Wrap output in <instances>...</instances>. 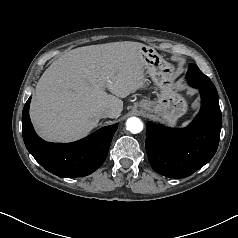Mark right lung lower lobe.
I'll return each mask as SVG.
<instances>
[{"label":"right lung lower lobe","instance_id":"obj_1","mask_svg":"<svg viewBox=\"0 0 238 238\" xmlns=\"http://www.w3.org/2000/svg\"><path fill=\"white\" fill-rule=\"evenodd\" d=\"M30 102L31 97L22 112L23 140L28 151L40 165L59 177L69 178L87 176L101 166L107 157L117 124L97 130L73 143L45 142L33 129L29 118Z\"/></svg>","mask_w":238,"mask_h":238}]
</instances>
